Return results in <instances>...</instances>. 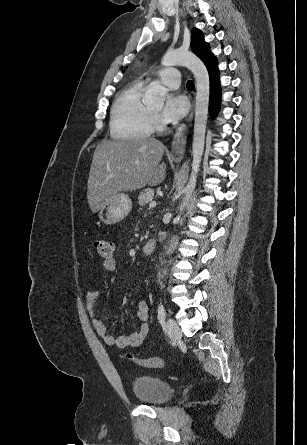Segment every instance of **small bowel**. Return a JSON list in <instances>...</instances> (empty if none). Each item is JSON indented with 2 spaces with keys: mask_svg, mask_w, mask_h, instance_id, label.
<instances>
[{
  "mask_svg": "<svg viewBox=\"0 0 307 445\" xmlns=\"http://www.w3.org/2000/svg\"><path fill=\"white\" fill-rule=\"evenodd\" d=\"M102 268L109 273H113L117 269V263L114 258L104 259L102 262ZM99 297L97 290H90L87 292V309L93 318V324L99 335L104 342L108 345L115 346L120 349H126L130 347H137L141 345L146 337L149 327L147 321L149 319V307L145 301H141L137 305V317L142 322L139 331L122 336H113L109 333L105 324V318L99 317L95 313V304Z\"/></svg>",
  "mask_w": 307,
  "mask_h": 445,
  "instance_id": "c3829d8e",
  "label": "small bowel"
}]
</instances>
